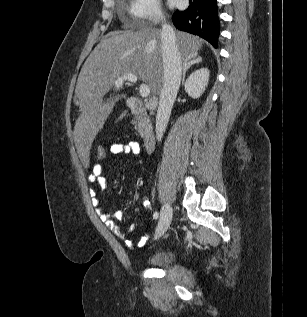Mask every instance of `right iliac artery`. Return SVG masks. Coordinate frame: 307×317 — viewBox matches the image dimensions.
I'll return each instance as SVG.
<instances>
[{
	"label": "right iliac artery",
	"mask_w": 307,
	"mask_h": 317,
	"mask_svg": "<svg viewBox=\"0 0 307 317\" xmlns=\"http://www.w3.org/2000/svg\"><path fill=\"white\" fill-rule=\"evenodd\" d=\"M153 217H154V219H157L158 218V212H155Z\"/></svg>",
	"instance_id": "1"
}]
</instances>
